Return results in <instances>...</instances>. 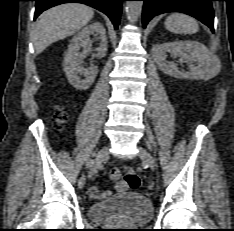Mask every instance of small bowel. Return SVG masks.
Instances as JSON below:
<instances>
[{
    "mask_svg": "<svg viewBox=\"0 0 234 231\" xmlns=\"http://www.w3.org/2000/svg\"><path fill=\"white\" fill-rule=\"evenodd\" d=\"M116 192L125 193L127 191V185L124 181H118L115 186ZM89 195L94 200H101L110 196L111 191L106 190L102 193H99L95 186H90L88 188Z\"/></svg>",
    "mask_w": 234,
    "mask_h": 231,
    "instance_id": "c3829d8e",
    "label": "small bowel"
}]
</instances>
